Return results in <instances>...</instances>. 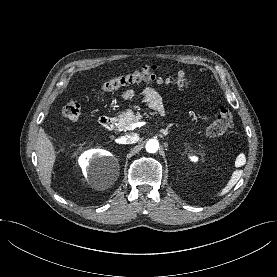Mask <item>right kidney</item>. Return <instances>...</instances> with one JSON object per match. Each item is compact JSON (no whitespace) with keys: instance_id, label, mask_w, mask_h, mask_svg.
<instances>
[{"instance_id":"ca27d5eb","label":"right kidney","mask_w":277,"mask_h":277,"mask_svg":"<svg viewBox=\"0 0 277 277\" xmlns=\"http://www.w3.org/2000/svg\"><path fill=\"white\" fill-rule=\"evenodd\" d=\"M110 160H112V156L109 152L100 149H94L82 154L79 158V164L82 167L85 176H93L94 165L96 163Z\"/></svg>"}]
</instances>
